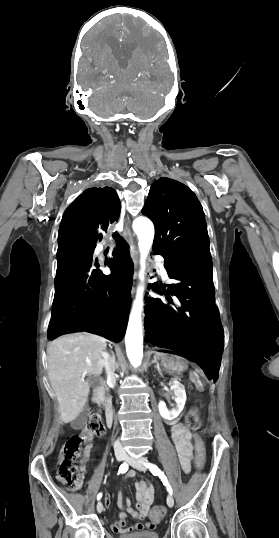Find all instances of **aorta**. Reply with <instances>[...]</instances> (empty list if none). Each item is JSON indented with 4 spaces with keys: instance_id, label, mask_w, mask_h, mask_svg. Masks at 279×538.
I'll list each match as a JSON object with an SVG mask.
<instances>
[{
    "instance_id": "obj_1",
    "label": "aorta",
    "mask_w": 279,
    "mask_h": 538,
    "mask_svg": "<svg viewBox=\"0 0 279 538\" xmlns=\"http://www.w3.org/2000/svg\"><path fill=\"white\" fill-rule=\"evenodd\" d=\"M133 230L138 237L141 267L139 279L141 284L137 289L136 297L129 315L125 344L130 363L134 367H138L141 364L143 357L142 311L144 306L143 292L146 269L145 262L154 240V225L148 218L138 217L133 221Z\"/></svg>"
}]
</instances>
